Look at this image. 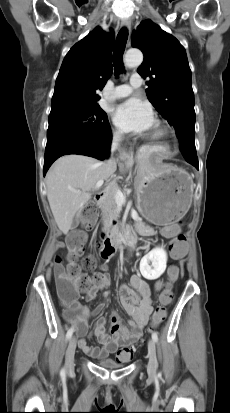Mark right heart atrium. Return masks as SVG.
Segmentation results:
<instances>
[{
  "label": "right heart atrium",
  "instance_id": "d8ad5b80",
  "mask_svg": "<svg viewBox=\"0 0 230 413\" xmlns=\"http://www.w3.org/2000/svg\"><path fill=\"white\" fill-rule=\"evenodd\" d=\"M112 137L115 141H120L122 138V133L118 130H113L112 131Z\"/></svg>",
  "mask_w": 230,
  "mask_h": 413
}]
</instances>
